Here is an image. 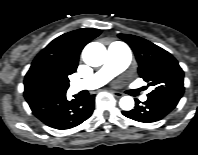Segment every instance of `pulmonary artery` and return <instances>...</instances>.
Returning <instances> with one entry per match:
<instances>
[{
  "mask_svg": "<svg viewBox=\"0 0 198 155\" xmlns=\"http://www.w3.org/2000/svg\"><path fill=\"white\" fill-rule=\"evenodd\" d=\"M130 60V52L124 44L120 42L110 44L107 50V59L103 67L90 77L73 81L70 85L71 91L76 93L81 90L96 89L105 85L113 77L125 70ZM141 99L143 101L146 100V96L143 95Z\"/></svg>",
  "mask_w": 198,
  "mask_h": 155,
  "instance_id": "e3ab8cb5",
  "label": "pulmonary artery"
}]
</instances>
